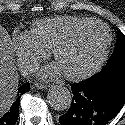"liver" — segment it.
Instances as JSON below:
<instances>
[{"label":"liver","mask_w":125,"mask_h":125,"mask_svg":"<svg viewBox=\"0 0 125 125\" xmlns=\"http://www.w3.org/2000/svg\"><path fill=\"white\" fill-rule=\"evenodd\" d=\"M10 43V35L0 25V116L14 101L18 88V74L11 55Z\"/></svg>","instance_id":"obj_1"}]
</instances>
